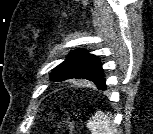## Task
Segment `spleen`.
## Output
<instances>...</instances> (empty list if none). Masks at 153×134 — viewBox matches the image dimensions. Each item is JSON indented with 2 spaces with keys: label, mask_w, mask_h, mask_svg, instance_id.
Here are the masks:
<instances>
[{
  "label": "spleen",
  "mask_w": 153,
  "mask_h": 134,
  "mask_svg": "<svg viewBox=\"0 0 153 134\" xmlns=\"http://www.w3.org/2000/svg\"><path fill=\"white\" fill-rule=\"evenodd\" d=\"M111 118V114L97 111L87 126L92 134H115L116 127Z\"/></svg>",
  "instance_id": "1"
}]
</instances>
